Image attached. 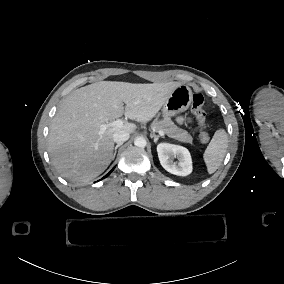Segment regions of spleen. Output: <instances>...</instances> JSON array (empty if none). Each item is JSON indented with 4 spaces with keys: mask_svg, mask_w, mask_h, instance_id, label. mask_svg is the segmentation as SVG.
Listing matches in <instances>:
<instances>
[{
    "mask_svg": "<svg viewBox=\"0 0 284 284\" xmlns=\"http://www.w3.org/2000/svg\"><path fill=\"white\" fill-rule=\"evenodd\" d=\"M228 148V135L224 128L215 131L207 149L203 153V160L208 174H213L220 167Z\"/></svg>",
    "mask_w": 284,
    "mask_h": 284,
    "instance_id": "obj_1",
    "label": "spleen"
}]
</instances>
